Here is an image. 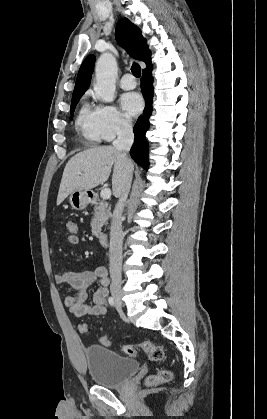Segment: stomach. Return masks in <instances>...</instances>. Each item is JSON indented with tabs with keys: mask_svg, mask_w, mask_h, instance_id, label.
Segmentation results:
<instances>
[{
	"mask_svg": "<svg viewBox=\"0 0 267 419\" xmlns=\"http://www.w3.org/2000/svg\"><path fill=\"white\" fill-rule=\"evenodd\" d=\"M89 190H76L70 194L69 201L73 209L83 210L90 202Z\"/></svg>",
	"mask_w": 267,
	"mask_h": 419,
	"instance_id": "stomach-1",
	"label": "stomach"
}]
</instances>
